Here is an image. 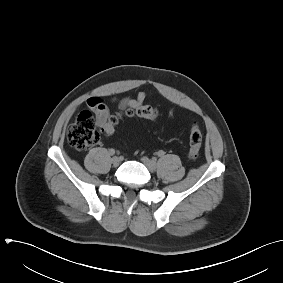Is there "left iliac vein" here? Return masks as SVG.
Returning a JSON list of instances; mask_svg holds the SVG:
<instances>
[{
    "label": "left iliac vein",
    "mask_w": 283,
    "mask_h": 283,
    "mask_svg": "<svg viewBox=\"0 0 283 283\" xmlns=\"http://www.w3.org/2000/svg\"><path fill=\"white\" fill-rule=\"evenodd\" d=\"M141 161L147 167V169L150 172H155L157 165H156V163L153 160H151L148 157L144 156V157L141 158Z\"/></svg>",
    "instance_id": "obj_1"
}]
</instances>
